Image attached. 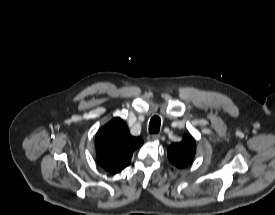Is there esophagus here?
Here are the masks:
<instances>
[{
    "instance_id": "34e87169",
    "label": "esophagus",
    "mask_w": 275,
    "mask_h": 215,
    "mask_svg": "<svg viewBox=\"0 0 275 215\" xmlns=\"http://www.w3.org/2000/svg\"><path fill=\"white\" fill-rule=\"evenodd\" d=\"M160 139V135L158 134H151V135H148L147 137V140L149 142H155V141H158Z\"/></svg>"
}]
</instances>
